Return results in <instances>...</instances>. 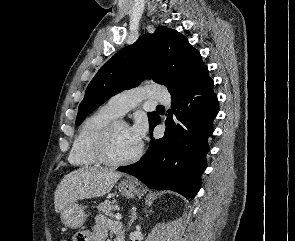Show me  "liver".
Returning <instances> with one entry per match:
<instances>
[{"label": "liver", "mask_w": 295, "mask_h": 241, "mask_svg": "<svg viewBox=\"0 0 295 241\" xmlns=\"http://www.w3.org/2000/svg\"><path fill=\"white\" fill-rule=\"evenodd\" d=\"M122 174L107 168L82 167L64 176L54 194L55 211L61 212L77 200L103 196Z\"/></svg>", "instance_id": "6515ba94"}]
</instances>
